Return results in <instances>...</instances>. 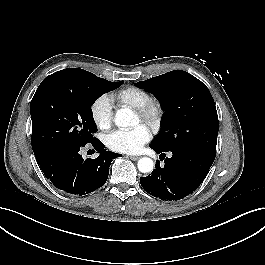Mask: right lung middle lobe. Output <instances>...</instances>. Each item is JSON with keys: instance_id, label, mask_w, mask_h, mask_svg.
<instances>
[{"instance_id": "right-lung-middle-lobe-1", "label": "right lung middle lobe", "mask_w": 265, "mask_h": 265, "mask_svg": "<svg viewBox=\"0 0 265 265\" xmlns=\"http://www.w3.org/2000/svg\"><path fill=\"white\" fill-rule=\"evenodd\" d=\"M123 82H110L79 68L47 76L30 104L33 152L95 142L97 126L91 106Z\"/></svg>"}]
</instances>
